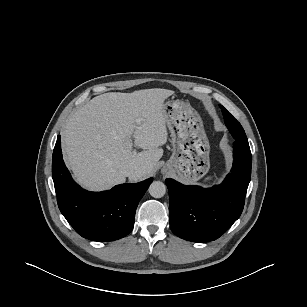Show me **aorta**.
<instances>
[{"instance_id":"obj_1","label":"aorta","mask_w":307,"mask_h":307,"mask_svg":"<svg viewBox=\"0 0 307 307\" xmlns=\"http://www.w3.org/2000/svg\"><path fill=\"white\" fill-rule=\"evenodd\" d=\"M149 193L154 198H161L166 193V186L163 182L154 181L149 186Z\"/></svg>"}]
</instances>
